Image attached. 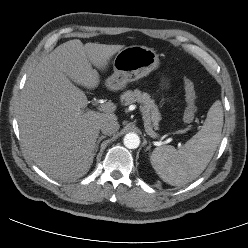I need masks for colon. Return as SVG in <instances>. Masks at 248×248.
Listing matches in <instances>:
<instances>
[{
  "instance_id": "1",
  "label": "colon",
  "mask_w": 248,
  "mask_h": 248,
  "mask_svg": "<svg viewBox=\"0 0 248 248\" xmlns=\"http://www.w3.org/2000/svg\"><path fill=\"white\" fill-rule=\"evenodd\" d=\"M184 89H185L186 99H187L188 104L184 112L183 120L185 123H191L193 122L196 111H197L196 90H195L193 82L190 81L189 79H185Z\"/></svg>"
}]
</instances>
